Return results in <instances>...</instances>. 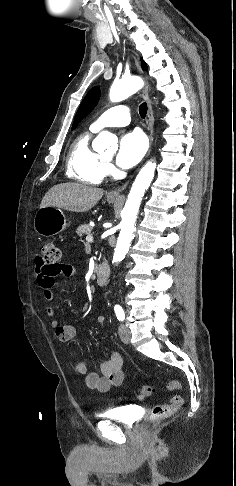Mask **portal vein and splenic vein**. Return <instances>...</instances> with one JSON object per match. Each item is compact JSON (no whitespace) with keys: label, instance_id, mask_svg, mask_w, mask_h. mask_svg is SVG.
I'll list each match as a JSON object with an SVG mask.
<instances>
[{"label":"portal vein and splenic vein","instance_id":"obj_1","mask_svg":"<svg viewBox=\"0 0 236 486\" xmlns=\"http://www.w3.org/2000/svg\"><path fill=\"white\" fill-rule=\"evenodd\" d=\"M92 241H93V237H92L91 235H88V236L86 237V242L90 243V242H92Z\"/></svg>","mask_w":236,"mask_h":486}]
</instances>
